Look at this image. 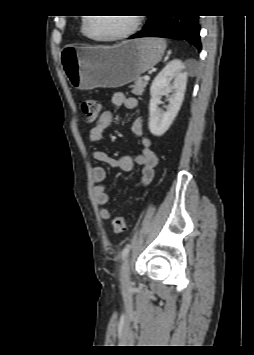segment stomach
<instances>
[{
    "instance_id": "stomach-1",
    "label": "stomach",
    "mask_w": 254,
    "mask_h": 355,
    "mask_svg": "<svg viewBox=\"0 0 254 355\" xmlns=\"http://www.w3.org/2000/svg\"><path fill=\"white\" fill-rule=\"evenodd\" d=\"M161 38H141L112 47L65 46L60 54L63 72L76 89L116 88L136 80L163 57Z\"/></svg>"
}]
</instances>
